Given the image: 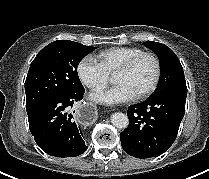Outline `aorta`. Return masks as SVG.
I'll list each match as a JSON object with an SVG mask.
<instances>
[{
	"mask_svg": "<svg viewBox=\"0 0 209 179\" xmlns=\"http://www.w3.org/2000/svg\"><path fill=\"white\" fill-rule=\"evenodd\" d=\"M111 123L118 129H125L129 125V119L126 114L116 112L111 116Z\"/></svg>",
	"mask_w": 209,
	"mask_h": 179,
	"instance_id": "762f6f07",
	"label": "aorta"
}]
</instances>
